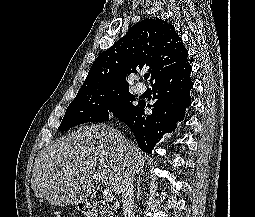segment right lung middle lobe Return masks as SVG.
<instances>
[{
  "mask_svg": "<svg viewBox=\"0 0 255 217\" xmlns=\"http://www.w3.org/2000/svg\"><path fill=\"white\" fill-rule=\"evenodd\" d=\"M134 100L135 97L129 93L128 87L77 93L69 104L58 130H67L87 122L106 121L109 112H112L114 117H122L136 107L133 104Z\"/></svg>",
  "mask_w": 255,
  "mask_h": 217,
  "instance_id": "obj_1",
  "label": "right lung middle lobe"
}]
</instances>
